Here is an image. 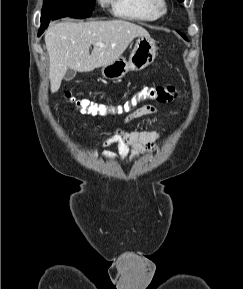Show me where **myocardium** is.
I'll use <instances>...</instances> for the list:
<instances>
[{
    "label": "myocardium",
    "instance_id": "f54148a6",
    "mask_svg": "<svg viewBox=\"0 0 243 289\" xmlns=\"http://www.w3.org/2000/svg\"><path fill=\"white\" fill-rule=\"evenodd\" d=\"M150 5L152 10L159 16L167 13L168 11V4L166 0H150Z\"/></svg>",
    "mask_w": 243,
    "mask_h": 289
}]
</instances>
